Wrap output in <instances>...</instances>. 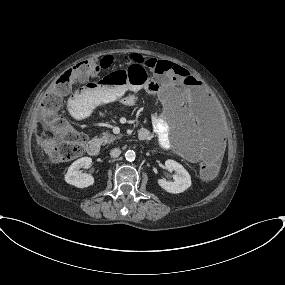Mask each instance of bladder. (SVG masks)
I'll return each mask as SVG.
<instances>
[{
  "mask_svg": "<svg viewBox=\"0 0 285 285\" xmlns=\"http://www.w3.org/2000/svg\"><path fill=\"white\" fill-rule=\"evenodd\" d=\"M177 152L179 155L186 157L189 154V148L185 145H180L177 147Z\"/></svg>",
  "mask_w": 285,
  "mask_h": 285,
  "instance_id": "1",
  "label": "bladder"
}]
</instances>
